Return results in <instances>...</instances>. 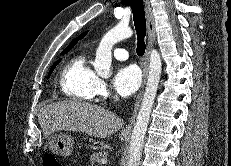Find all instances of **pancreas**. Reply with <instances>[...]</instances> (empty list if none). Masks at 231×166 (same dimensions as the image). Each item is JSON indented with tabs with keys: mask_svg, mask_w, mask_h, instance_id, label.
Returning <instances> with one entry per match:
<instances>
[{
	"mask_svg": "<svg viewBox=\"0 0 231 166\" xmlns=\"http://www.w3.org/2000/svg\"><path fill=\"white\" fill-rule=\"evenodd\" d=\"M108 156V153L105 151H101L98 153H93L92 155H90L89 157V164L90 166H94L96 163H101V161L103 159H106Z\"/></svg>",
	"mask_w": 231,
	"mask_h": 166,
	"instance_id": "obj_1",
	"label": "pancreas"
}]
</instances>
